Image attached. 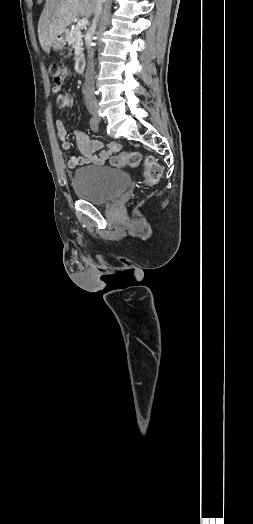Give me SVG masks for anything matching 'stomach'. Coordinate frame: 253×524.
<instances>
[{
  "label": "stomach",
  "mask_w": 253,
  "mask_h": 524,
  "mask_svg": "<svg viewBox=\"0 0 253 524\" xmlns=\"http://www.w3.org/2000/svg\"><path fill=\"white\" fill-rule=\"evenodd\" d=\"M66 45V33L62 32L57 35L53 41L52 47L55 51H61Z\"/></svg>",
  "instance_id": "stomach-1"
}]
</instances>
